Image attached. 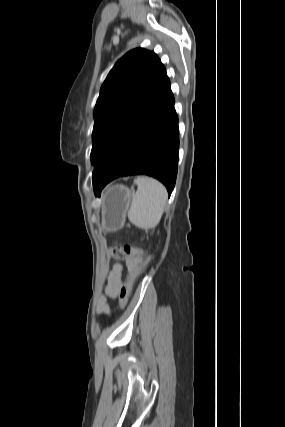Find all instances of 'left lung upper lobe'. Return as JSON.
I'll list each match as a JSON object with an SVG mask.
<instances>
[{
    "mask_svg": "<svg viewBox=\"0 0 285 427\" xmlns=\"http://www.w3.org/2000/svg\"><path fill=\"white\" fill-rule=\"evenodd\" d=\"M166 77L157 55L143 48L131 50L117 61L102 84L93 113L92 164L114 146Z\"/></svg>",
    "mask_w": 285,
    "mask_h": 427,
    "instance_id": "1",
    "label": "left lung upper lobe"
}]
</instances>
